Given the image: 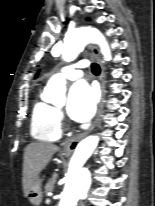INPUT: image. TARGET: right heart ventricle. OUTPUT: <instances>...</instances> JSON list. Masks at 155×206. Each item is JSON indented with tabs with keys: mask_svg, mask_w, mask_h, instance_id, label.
I'll return each instance as SVG.
<instances>
[{
	"mask_svg": "<svg viewBox=\"0 0 155 206\" xmlns=\"http://www.w3.org/2000/svg\"><path fill=\"white\" fill-rule=\"evenodd\" d=\"M31 134L35 139L54 142L61 136L58 110L43 99L35 102L31 114Z\"/></svg>",
	"mask_w": 155,
	"mask_h": 206,
	"instance_id": "obj_1",
	"label": "right heart ventricle"
}]
</instances>
